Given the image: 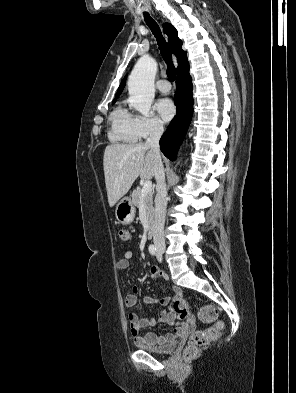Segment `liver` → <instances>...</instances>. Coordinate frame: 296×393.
<instances>
[{
    "instance_id": "liver-1",
    "label": "liver",
    "mask_w": 296,
    "mask_h": 393,
    "mask_svg": "<svg viewBox=\"0 0 296 393\" xmlns=\"http://www.w3.org/2000/svg\"><path fill=\"white\" fill-rule=\"evenodd\" d=\"M108 203L113 207L134 181L154 176L155 154L144 143L108 145L103 158Z\"/></svg>"
}]
</instances>
